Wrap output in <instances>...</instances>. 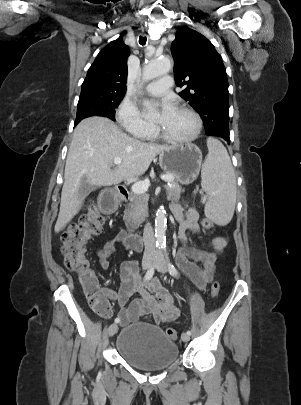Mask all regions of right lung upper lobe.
I'll return each instance as SVG.
<instances>
[{
	"mask_svg": "<svg viewBox=\"0 0 301 405\" xmlns=\"http://www.w3.org/2000/svg\"><path fill=\"white\" fill-rule=\"evenodd\" d=\"M129 47L122 38L104 47L88 70L80 96L87 94L125 95Z\"/></svg>",
	"mask_w": 301,
	"mask_h": 405,
	"instance_id": "1",
	"label": "right lung upper lobe"
}]
</instances>
